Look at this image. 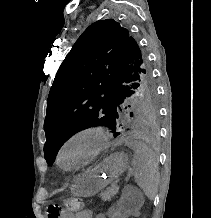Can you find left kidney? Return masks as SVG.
Wrapping results in <instances>:
<instances>
[{
  "mask_svg": "<svg viewBox=\"0 0 211 218\" xmlns=\"http://www.w3.org/2000/svg\"><path fill=\"white\" fill-rule=\"evenodd\" d=\"M136 207H130V198H118L113 207H108V218H139Z\"/></svg>",
  "mask_w": 211,
  "mask_h": 218,
  "instance_id": "obj_1",
  "label": "left kidney"
}]
</instances>
